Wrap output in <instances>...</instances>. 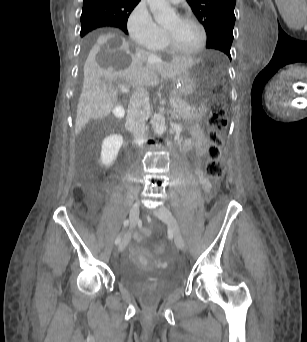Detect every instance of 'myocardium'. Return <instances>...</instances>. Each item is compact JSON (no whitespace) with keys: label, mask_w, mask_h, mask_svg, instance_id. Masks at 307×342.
I'll return each instance as SVG.
<instances>
[{"label":"myocardium","mask_w":307,"mask_h":342,"mask_svg":"<svg viewBox=\"0 0 307 342\" xmlns=\"http://www.w3.org/2000/svg\"><path fill=\"white\" fill-rule=\"evenodd\" d=\"M178 19L181 22H194L199 26L202 32V39H201L200 44L196 48L191 49V50H179V49L174 48L170 44L168 38L164 35L162 49L171 55H177V56H194V55L201 53L206 48L208 44V39H209L206 24L200 18L194 15H182V16H179Z\"/></svg>","instance_id":"myocardium-1"}]
</instances>
